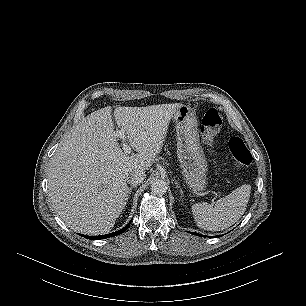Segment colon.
<instances>
[{
    "label": "colon",
    "instance_id": "5ec220e1",
    "mask_svg": "<svg viewBox=\"0 0 306 306\" xmlns=\"http://www.w3.org/2000/svg\"><path fill=\"white\" fill-rule=\"evenodd\" d=\"M223 126V119L215 108L208 109L202 117L201 137L206 145H211ZM239 165L247 166L252 161V156L245 145L244 141L239 137H232L229 140L228 148L225 151Z\"/></svg>",
    "mask_w": 306,
    "mask_h": 306
}]
</instances>
